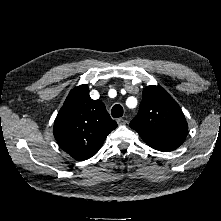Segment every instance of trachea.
Instances as JSON below:
<instances>
[{
	"instance_id": "trachea-1",
	"label": "trachea",
	"mask_w": 221,
	"mask_h": 221,
	"mask_svg": "<svg viewBox=\"0 0 221 221\" xmlns=\"http://www.w3.org/2000/svg\"><path fill=\"white\" fill-rule=\"evenodd\" d=\"M111 114L114 118H119L123 116V108L121 105L116 104L113 106L111 110Z\"/></svg>"
}]
</instances>
